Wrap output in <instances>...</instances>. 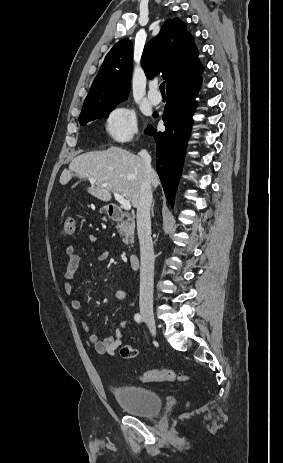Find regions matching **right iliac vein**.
Listing matches in <instances>:
<instances>
[{
	"label": "right iliac vein",
	"mask_w": 283,
	"mask_h": 463,
	"mask_svg": "<svg viewBox=\"0 0 283 463\" xmlns=\"http://www.w3.org/2000/svg\"><path fill=\"white\" fill-rule=\"evenodd\" d=\"M142 317L146 324L148 325L152 335H156V323L154 319V315L149 310H142Z\"/></svg>",
	"instance_id": "obj_1"
}]
</instances>
